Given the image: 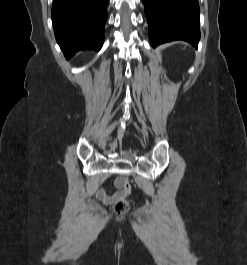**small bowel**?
<instances>
[{"label": "small bowel", "mask_w": 247, "mask_h": 265, "mask_svg": "<svg viewBox=\"0 0 247 265\" xmlns=\"http://www.w3.org/2000/svg\"><path fill=\"white\" fill-rule=\"evenodd\" d=\"M116 187L117 188H121V182L120 180H117L116 182ZM124 196V193L122 190H118L114 193H108L106 190L104 189H100L97 191L96 193V197L102 201L104 204H112L115 201H117L118 199L122 198Z\"/></svg>", "instance_id": "small-bowel-1"}]
</instances>
